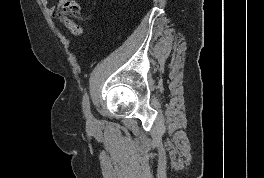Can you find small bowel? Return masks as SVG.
<instances>
[{
	"mask_svg": "<svg viewBox=\"0 0 264 178\" xmlns=\"http://www.w3.org/2000/svg\"><path fill=\"white\" fill-rule=\"evenodd\" d=\"M62 2L63 0H58L56 6H49L48 0H41L42 5L47 8V12L51 16L56 17L73 35L79 36L82 33V28L61 12Z\"/></svg>",
	"mask_w": 264,
	"mask_h": 178,
	"instance_id": "c3829d8e",
	"label": "small bowel"
}]
</instances>
